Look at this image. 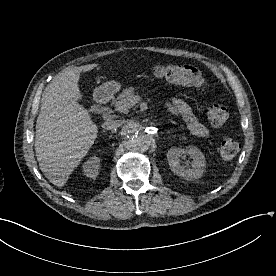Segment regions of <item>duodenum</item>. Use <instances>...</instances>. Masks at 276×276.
Wrapping results in <instances>:
<instances>
[{
	"instance_id": "obj_1",
	"label": "duodenum",
	"mask_w": 276,
	"mask_h": 276,
	"mask_svg": "<svg viewBox=\"0 0 276 276\" xmlns=\"http://www.w3.org/2000/svg\"><path fill=\"white\" fill-rule=\"evenodd\" d=\"M96 100L100 104H106L110 100V94L109 92L102 90L97 93Z\"/></svg>"
}]
</instances>
